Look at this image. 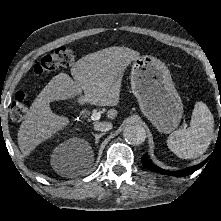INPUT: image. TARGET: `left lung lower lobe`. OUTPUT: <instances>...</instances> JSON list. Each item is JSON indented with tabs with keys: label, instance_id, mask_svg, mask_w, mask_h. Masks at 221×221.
Segmentation results:
<instances>
[{
	"label": "left lung lower lobe",
	"instance_id": "0a47b994",
	"mask_svg": "<svg viewBox=\"0 0 221 221\" xmlns=\"http://www.w3.org/2000/svg\"><path fill=\"white\" fill-rule=\"evenodd\" d=\"M205 162L206 161H204V162H202V163H200L196 166L188 167V168L183 169L181 171H168V170L161 169L158 166L151 163L149 161V159L147 158V155H143V157H142L143 166L146 167L147 169H149L150 171L159 172V173L166 174V175H169V176H179V177L187 176V175L192 174L193 172H195L196 170L201 168L205 164Z\"/></svg>",
	"mask_w": 221,
	"mask_h": 221
}]
</instances>
